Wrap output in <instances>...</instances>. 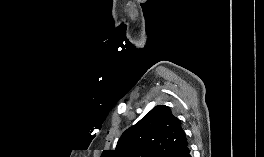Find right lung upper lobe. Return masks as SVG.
I'll return each instance as SVG.
<instances>
[{"label":"right lung upper lobe","mask_w":264,"mask_h":157,"mask_svg":"<svg viewBox=\"0 0 264 157\" xmlns=\"http://www.w3.org/2000/svg\"><path fill=\"white\" fill-rule=\"evenodd\" d=\"M188 146L181 121L158 105L120 137L109 157H177Z\"/></svg>","instance_id":"obj_1"}]
</instances>
